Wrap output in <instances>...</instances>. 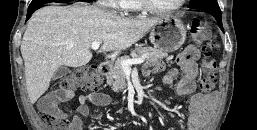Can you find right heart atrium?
Here are the masks:
<instances>
[{
    "label": "right heart atrium",
    "mask_w": 257,
    "mask_h": 130,
    "mask_svg": "<svg viewBox=\"0 0 257 130\" xmlns=\"http://www.w3.org/2000/svg\"><path fill=\"white\" fill-rule=\"evenodd\" d=\"M121 0H99V4L105 7H110L114 9L120 8Z\"/></svg>",
    "instance_id": "d8ad5b80"
}]
</instances>
